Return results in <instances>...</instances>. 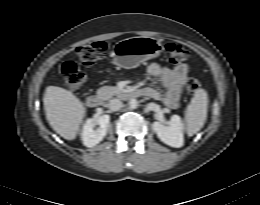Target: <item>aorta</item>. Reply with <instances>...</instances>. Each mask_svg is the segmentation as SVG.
<instances>
[{
	"instance_id": "762f6f07",
	"label": "aorta",
	"mask_w": 260,
	"mask_h": 205,
	"mask_svg": "<svg viewBox=\"0 0 260 205\" xmlns=\"http://www.w3.org/2000/svg\"><path fill=\"white\" fill-rule=\"evenodd\" d=\"M129 107L131 109H136L138 107V101L136 99H130Z\"/></svg>"
}]
</instances>
